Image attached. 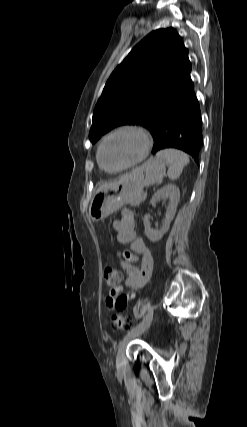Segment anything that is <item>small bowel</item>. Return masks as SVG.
I'll return each instance as SVG.
<instances>
[{"label": "small bowel", "instance_id": "1", "mask_svg": "<svg viewBox=\"0 0 247 427\" xmlns=\"http://www.w3.org/2000/svg\"><path fill=\"white\" fill-rule=\"evenodd\" d=\"M136 221L134 214L123 211L121 218L113 222V228L117 233V241L122 244H130L131 251L120 254V264L126 273L124 287L138 290L150 279L153 271V256L145 242L136 235ZM137 254L141 255L140 266L134 265L138 261ZM122 285L112 289L106 298V306L110 310H123L133 298V294L122 295Z\"/></svg>", "mask_w": 247, "mask_h": 427}]
</instances>
